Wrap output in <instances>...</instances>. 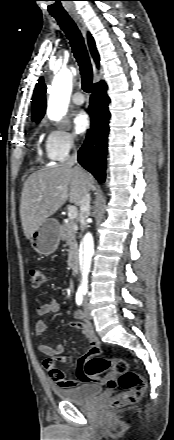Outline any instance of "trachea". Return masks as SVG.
<instances>
[{
  "instance_id": "obj_1",
  "label": "trachea",
  "mask_w": 174,
  "mask_h": 440,
  "mask_svg": "<svg viewBox=\"0 0 174 440\" xmlns=\"http://www.w3.org/2000/svg\"><path fill=\"white\" fill-rule=\"evenodd\" d=\"M53 17L56 19L58 25L64 31L70 42L74 57L76 58L80 68L82 89L85 92L90 93L93 81V72L81 32L70 16L55 15Z\"/></svg>"
}]
</instances>
